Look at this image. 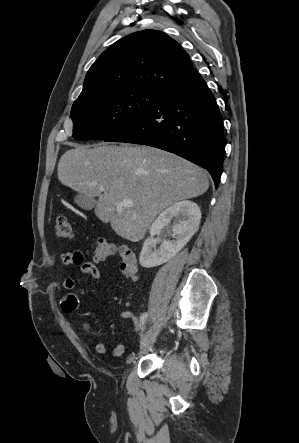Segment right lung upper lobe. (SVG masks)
I'll return each instance as SVG.
<instances>
[{
  "label": "right lung upper lobe",
  "instance_id": "right-lung-upper-lobe-1",
  "mask_svg": "<svg viewBox=\"0 0 299 443\" xmlns=\"http://www.w3.org/2000/svg\"><path fill=\"white\" fill-rule=\"evenodd\" d=\"M189 55L165 33L144 30L111 45L92 64L76 101L101 92L164 89L194 75Z\"/></svg>",
  "mask_w": 299,
  "mask_h": 443
}]
</instances>
